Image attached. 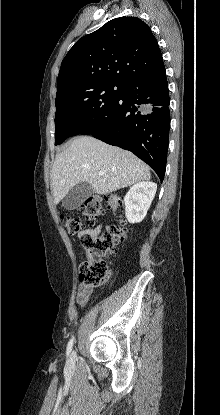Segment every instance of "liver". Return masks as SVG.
Here are the masks:
<instances>
[{"label": "liver", "instance_id": "1", "mask_svg": "<svg viewBox=\"0 0 220 415\" xmlns=\"http://www.w3.org/2000/svg\"><path fill=\"white\" fill-rule=\"evenodd\" d=\"M150 178L149 167L131 152L81 136L56 154L52 167L54 202L58 204L80 182L103 195Z\"/></svg>", "mask_w": 220, "mask_h": 415}]
</instances>
